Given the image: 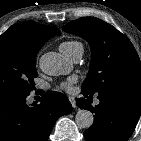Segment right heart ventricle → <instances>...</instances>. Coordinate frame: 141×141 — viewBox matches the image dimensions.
<instances>
[{
	"mask_svg": "<svg viewBox=\"0 0 141 141\" xmlns=\"http://www.w3.org/2000/svg\"><path fill=\"white\" fill-rule=\"evenodd\" d=\"M59 50L67 57L70 58L77 51H83V46L79 41H65L59 46Z\"/></svg>",
	"mask_w": 141,
	"mask_h": 141,
	"instance_id": "e07e8e85",
	"label": "right heart ventricle"
}]
</instances>
